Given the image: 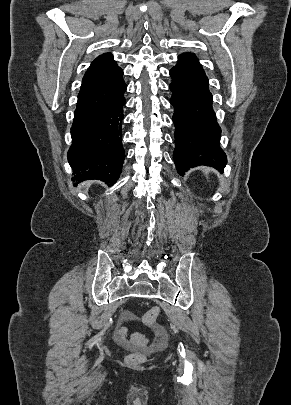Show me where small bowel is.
<instances>
[{
    "mask_svg": "<svg viewBox=\"0 0 291 405\" xmlns=\"http://www.w3.org/2000/svg\"><path fill=\"white\" fill-rule=\"evenodd\" d=\"M133 315H132V313H130L129 311H124L122 314H121V321L123 322V323H126V322H130V321H132L133 320Z\"/></svg>",
    "mask_w": 291,
    "mask_h": 405,
    "instance_id": "small-bowel-1",
    "label": "small bowel"
}]
</instances>
